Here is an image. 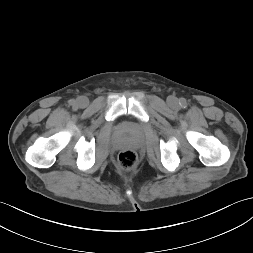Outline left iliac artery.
I'll return each mask as SVG.
<instances>
[{
    "label": "left iliac artery",
    "mask_w": 253,
    "mask_h": 253,
    "mask_svg": "<svg viewBox=\"0 0 253 253\" xmlns=\"http://www.w3.org/2000/svg\"><path fill=\"white\" fill-rule=\"evenodd\" d=\"M179 104L182 106V107H186V100L185 99H181L180 101H179Z\"/></svg>",
    "instance_id": "44dca946"
}]
</instances>
